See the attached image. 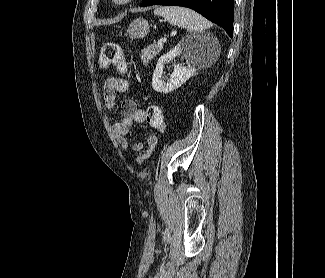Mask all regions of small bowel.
I'll return each mask as SVG.
<instances>
[{
    "instance_id": "1",
    "label": "small bowel",
    "mask_w": 325,
    "mask_h": 278,
    "mask_svg": "<svg viewBox=\"0 0 325 278\" xmlns=\"http://www.w3.org/2000/svg\"><path fill=\"white\" fill-rule=\"evenodd\" d=\"M129 83L124 78L111 77L108 78L103 87L104 104L107 110L111 111L115 107L116 96L118 93H124L128 90ZM145 110L138 107L136 102L131 99L124 100L120 108V117L114 123L113 129L116 135L120 138V143L123 148L131 147L134 151L141 152L144 148L142 142H133L129 140L131 126L134 123H144ZM148 150L145 153H140L137 157L138 163H143L150 160L157 149V140L154 136H149L146 140Z\"/></svg>"
}]
</instances>
